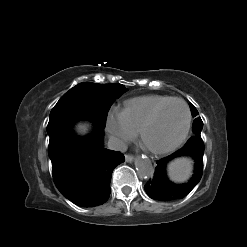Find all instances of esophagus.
I'll list each match as a JSON object with an SVG mask.
<instances>
[{"instance_id":"esophagus-1","label":"esophagus","mask_w":247,"mask_h":247,"mask_svg":"<svg viewBox=\"0 0 247 247\" xmlns=\"http://www.w3.org/2000/svg\"><path fill=\"white\" fill-rule=\"evenodd\" d=\"M126 162H132L134 160V156L130 154L125 155Z\"/></svg>"}]
</instances>
